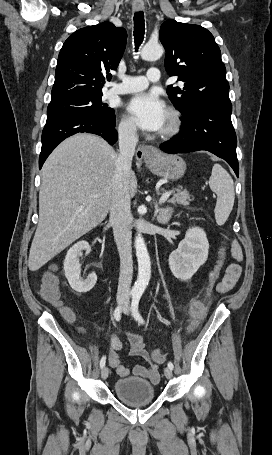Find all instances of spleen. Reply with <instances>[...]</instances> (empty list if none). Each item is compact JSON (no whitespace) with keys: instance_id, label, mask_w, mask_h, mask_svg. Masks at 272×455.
Masks as SVG:
<instances>
[{"instance_id":"3e777b00","label":"spleen","mask_w":272,"mask_h":455,"mask_svg":"<svg viewBox=\"0 0 272 455\" xmlns=\"http://www.w3.org/2000/svg\"><path fill=\"white\" fill-rule=\"evenodd\" d=\"M211 190L217 194L215 219L218 225H223L228 219L234 205V182L229 173L219 164L212 168L209 179Z\"/></svg>"}]
</instances>
